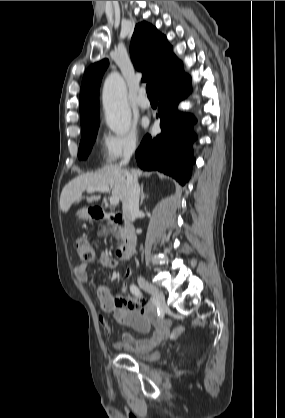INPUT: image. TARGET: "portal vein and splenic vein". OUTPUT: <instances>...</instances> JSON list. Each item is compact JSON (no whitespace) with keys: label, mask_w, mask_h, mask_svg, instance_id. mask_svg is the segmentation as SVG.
Instances as JSON below:
<instances>
[{"label":"portal vein and splenic vein","mask_w":285,"mask_h":418,"mask_svg":"<svg viewBox=\"0 0 285 418\" xmlns=\"http://www.w3.org/2000/svg\"><path fill=\"white\" fill-rule=\"evenodd\" d=\"M95 191H100V192L108 193L110 191V188L109 187H101V188H89V189H87V192L88 193H92V192H95ZM119 200L120 199L118 197L112 196L110 198V204L111 205H117L119 203Z\"/></svg>","instance_id":"1"}]
</instances>
